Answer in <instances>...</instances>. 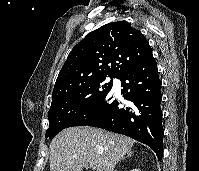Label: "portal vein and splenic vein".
Instances as JSON below:
<instances>
[{
    "mask_svg": "<svg viewBox=\"0 0 199 171\" xmlns=\"http://www.w3.org/2000/svg\"><path fill=\"white\" fill-rule=\"evenodd\" d=\"M90 167L91 168H95V164H90Z\"/></svg>",
    "mask_w": 199,
    "mask_h": 171,
    "instance_id": "1",
    "label": "portal vein and splenic vein"
}]
</instances>
